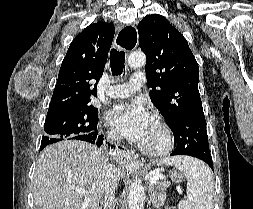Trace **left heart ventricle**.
I'll return each mask as SVG.
<instances>
[{"mask_svg":"<svg viewBox=\"0 0 253 209\" xmlns=\"http://www.w3.org/2000/svg\"><path fill=\"white\" fill-rule=\"evenodd\" d=\"M140 143L148 148H159L164 144L163 130L155 121H153L146 136Z\"/></svg>","mask_w":253,"mask_h":209,"instance_id":"1","label":"left heart ventricle"}]
</instances>
